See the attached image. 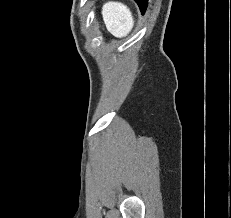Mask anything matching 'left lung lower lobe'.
I'll return each instance as SVG.
<instances>
[{
  "label": "left lung lower lobe",
  "mask_w": 231,
  "mask_h": 218,
  "mask_svg": "<svg viewBox=\"0 0 231 218\" xmlns=\"http://www.w3.org/2000/svg\"><path fill=\"white\" fill-rule=\"evenodd\" d=\"M135 1L139 5L141 12L144 13L146 8H147V1L148 0H135Z\"/></svg>",
  "instance_id": "0a47b994"
}]
</instances>
